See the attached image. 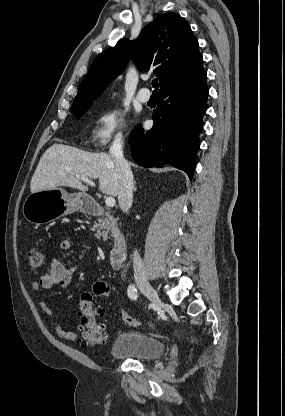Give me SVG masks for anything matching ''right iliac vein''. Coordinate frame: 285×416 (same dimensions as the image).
<instances>
[{"instance_id": "obj_1", "label": "right iliac vein", "mask_w": 285, "mask_h": 416, "mask_svg": "<svg viewBox=\"0 0 285 416\" xmlns=\"http://www.w3.org/2000/svg\"><path fill=\"white\" fill-rule=\"evenodd\" d=\"M136 283L140 287L143 294L157 307L162 305V301L159 298L157 291L152 287V285L146 280L137 277Z\"/></svg>"}]
</instances>
